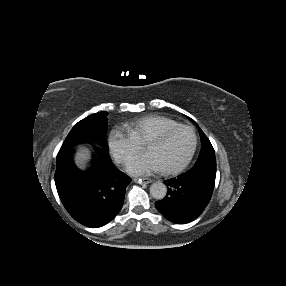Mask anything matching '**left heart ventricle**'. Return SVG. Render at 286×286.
<instances>
[{
	"instance_id": "obj_1",
	"label": "left heart ventricle",
	"mask_w": 286,
	"mask_h": 286,
	"mask_svg": "<svg viewBox=\"0 0 286 286\" xmlns=\"http://www.w3.org/2000/svg\"><path fill=\"white\" fill-rule=\"evenodd\" d=\"M194 144V135L190 130H181L161 142L146 144L162 168L182 162L190 153Z\"/></svg>"
}]
</instances>
